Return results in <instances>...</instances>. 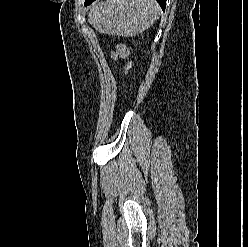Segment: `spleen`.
Here are the masks:
<instances>
[{
	"label": "spleen",
	"mask_w": 248,
	"mask_h": 247,
	"mask_svg": "<svg viewBox=\"0 0 248 247\" xmlns=\"http://www.w3.org/2000/svg\"><path fill=\"white\" fill-rule=\"evenodd\" d=\"M159 15L155 0H106L90 9L88 22L101 33L129 37L147 30Z\"/></svg>",
	"instance_id": "3e777b00"
}]
</instances>
